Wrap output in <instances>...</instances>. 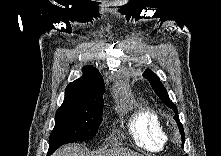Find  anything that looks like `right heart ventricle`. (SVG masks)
<instances>
[{"label":"right heart ventricle","instance_id":"1","mask_svg":"<svg viewBox=\"0 0 221 156\" xmlns=\"http://www.w3.org/2000/svg\"><path fill=\"white\" fill-rule=\"evenodd\" d=\"M134 143L148 152H160L169 142V129L161 116L150 108H140L128 122Z\"/></svg>","mask_w":221,"mask_h":156}]
</instances>
